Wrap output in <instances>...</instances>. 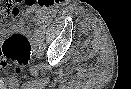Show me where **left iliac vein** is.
<instances>
[{
    "label": "left iliac vein",
    "instance_id": "obj_1",
    "mask_svg": "<svg viewBox=\"0 0 131 89\" xmlns=\"http://www.w3.org/2000/svg\"><path fill=\"white\" fill-rule=\"evenodd\" d=\"M41 52H42V50H41V49H39V50H38V54H41Z\"/></svg>",
    "mask_w": 131,
    "mask_h": 89
}]
</instances>
